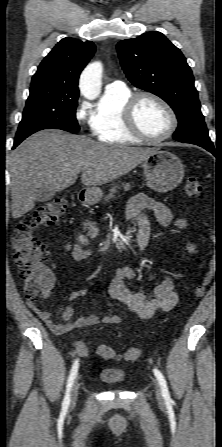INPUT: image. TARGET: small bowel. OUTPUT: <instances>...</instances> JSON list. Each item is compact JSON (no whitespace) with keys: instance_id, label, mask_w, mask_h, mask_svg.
Listing matches in <instances>:
<instances>
[{"instance_id":"small-bowel-1","label":"small bowel","mask_w":222,"mask_h":447,"mask_svg":"<svg viewBox=\"0 0 222 447\" xmlns=\"http://www.w3.org/2000/svg\"><path fill=\"white\" fill-rule=\"evenodd\" d=\"M145 210L152 211L159 224L164 227L174 224L179 228H186L188 225L185 218L174 220L170 209L164 204L147 197L145 194L135 195L127 205L125 220L135 221L137 223L139 228L137 248L140 250L145 246L144 239L148 233V223L142 214ZM65 249L72 255L75 261L90 260L93 255L91 250L85 249L81 244H67ZM186 249L189 254L196 253V246L191 242L187 243ZM88 267L89 265H87V268ZM135 277L136 273L130 266H118L109 283V295L113 299L126 304L129 311L136 314L141 319H150L157 312H169L175 308L178 303V293L177 284L172 278L165 277L153 288L152 294L148 295L145 292H134L127 288L126 283L132 281ZM53 287L54 276L52 275L50 282L45 286L41 293V298L43 300L50 298ZM87 293L88 289L86 288L75 289L70 294V300L83 298ZM27 306L45 322L48 328L58 334H66L74 329L95 326L99 322L105 324H119L122 321V317L113 312H108L102 317L89 315L72 320L75 313L74 308L67 306L60 313L62 322L55 323L51 318V313L40 307L37 302H27ZM73 351L80 355H89V349L81 342L74 344Z\"/></svg>"}]
</instances>
